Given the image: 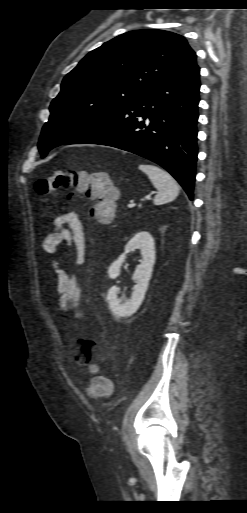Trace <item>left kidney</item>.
<instances>
[{
  "instance_id": "left-kidney-1",
  "label": "left kidney",
  "mask_w": 247,
  "mask_h": 513,
  "mask_svg": "<svg viewBox=\"0 0 247 513\" xmlns=\"http://www.w3.org/2000/svg\"><path fill=\"white\" fill-rule=\"evenodd\" d=\"M139 249L142 255L141 264L137 265L133 274L136 285L133 288L131 298L121 303L117 295L119 289L113 286L108 290L107 301L110 311L115 318L133 315L141 305L147 291L149 280L152 276L153 266L156 258L155 242L148 232L137 233L125 246V252L114 261L108 270L110 278L115 279L120 275L121 265L125 262L126 254Z\"/></svg>"
}]
</instances>
